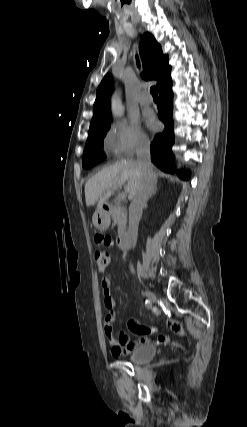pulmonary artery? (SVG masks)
<instances>
[{
	"instance_id": "1",
	"label": "pulmonary artery",
	"mask_w": 247,
	"mask_h": 427,
	"mask_svg": "<svg viewBox=\"0 0 247 427\" xmlns=\"http://www.w3.org/2000/svg\"><path fill=\"white\" fill-rule=\"evenodd\" d=\"M139 103L143 106H148L152 103V98L149 95L144 94L140 97Z\"/></svg>"
}]
</instances>
